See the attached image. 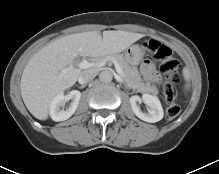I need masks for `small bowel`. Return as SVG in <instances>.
Here are the masks:
<instances>
[{
    "label": "small bowel",
    "mask_w": 219,
    "mask_h": 174,
    "mask_svg": "<svg viewBox=\"0 0 219 174\" xmlns=\"http://www.w3.org/2000/svg\"><path fill=\"white\" fill-rule=\"evenodd\" d=\"M141 72L149 82H158L160 75L155 67V64L150 60H145L141 66Z\"/></svg>",
    "instance_id": "obj_1"
}]
</instances>
